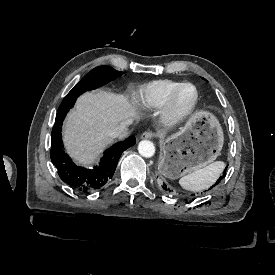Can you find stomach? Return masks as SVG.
I'll list each match as a JSON object with an SVG mask.
<instances>
[{
  "label": "stomach",
  "mask_w": 275,
  "mask_h": 275,
  "mask_svg": "<svg viewBox=\"0 0 275 275\" xmlns=\"http://www.w3.org/2000/svg\"><path fill=\"white\" fill-rule=\"evenodd\" d=\"M223 140L219 122L211 114L198 112L179 132L161 135L159 172L167 178L178 179L197 171L216 160Z\"/></svg>",
  "instance_id": "stomach-1"
}]
</instances>
